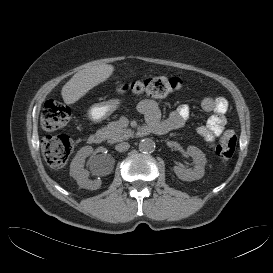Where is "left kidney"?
<instances>
[{
  "label": "left kidney",
  "instance_id": "left-kidney-1",
  "mask_svg": "<svg viewBox=\"0 0 273 273\" xmlns=\"http://www.w3.org/2000/svg\"><path fill=\"white\" fill-rule=\"evenodd\" d=\"M187 153L194 159L195 166L191 169L174 166V172L177 177L183 181H195L204 176V167L206 164L205 154L195 146H188Z\"/></svg>",
  "mask_w": 273,
  "mask_h": 273
}]
</instances>
